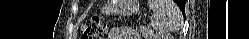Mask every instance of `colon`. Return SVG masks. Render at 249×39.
I'll return each instance as SVG.
<instances>
[{
    "mask_svg": "<svg viewBox=\"0 0 249 39\" xmlns=\"http://www.w3.org/2000/svg\"><path fill=\"white\" fill-rule=\"evenodd\" d=\"M106 30V25L99 16H93L81 27L82 39L102 38Z\"/></svg>",
    "mask_w": 249,
    "mask_h": 39,
    "instance_id": "1",
    "label": "colon"
}]
</instances>
